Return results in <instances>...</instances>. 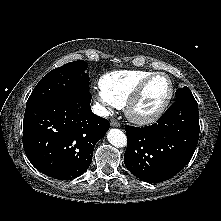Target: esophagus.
I'll use <instances>...</instances> for the list:
<instances>
[{
	"label": "esophagus",
	"mask_w": 221,
	"mask_h": 221,
	"mask_svg": "<svg viewBox=\"0 0 221 221\" xmlns=\"http://www.w3.org/2000/svg\"><path fill=\"white\" fill-rule=\"evenodd\" d=\"M110 124L112 127H120L121 126L120 122H118L116 120H111Z\"/></svg>",
	"instance_id": "obj_1"
}]
</instances>
